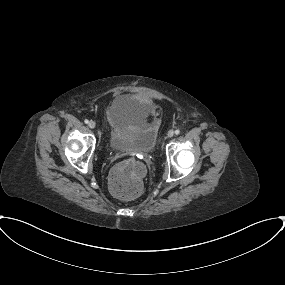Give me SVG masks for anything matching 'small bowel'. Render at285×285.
<instances>
[{"label": "small bowel", "instance_id": "obj_1", "mask_svg": "<svg viewBox=\"0 0 285 285\" xmlns=\"http://www.w3.org/2000/svg\"><path fill=\"white\" fill-rule=\"evenodd\" d=\"M162 116H163L162 111H156L152 116V120L154 122H156V121L160 120L162 118ZM107 121L111 127H113L114 129H117V130H120L121 128H123L125 126V121H123L122 119H120L119 117H117L113 113L108 114Z\"/></svg>", "mask_w": 285, "mask_h": 285}]
</instances>
